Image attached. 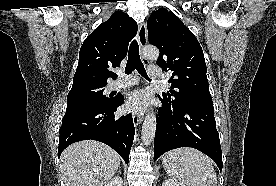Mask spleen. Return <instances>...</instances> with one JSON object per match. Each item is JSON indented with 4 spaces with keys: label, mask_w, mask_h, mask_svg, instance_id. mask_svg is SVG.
I'll list each match as a JSON object with an SVG mask.
<instances>
[{
    "label": "spleen",
    "mask_w": 276,
    "mask_h": 186,
    "mask_svg": "<svg viewBox=\"0 0 276 186\" xmlns=\"http://www.w3.org/2000/svg\"><path fill=\"white\" fill-rule=\"evenodd\" d=\"M167 174L187 186H217V175L209 157L193 148H178L163 157Z\"/></svg>",
    "instance_id": "spleen-1"
}]
</instances>
